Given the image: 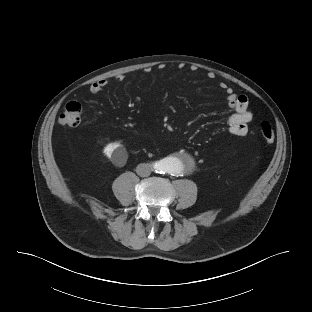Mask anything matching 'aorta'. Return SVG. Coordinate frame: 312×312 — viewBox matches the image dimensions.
I'll return each instance as SVG.
<instances>
[{
  "instance_id": "762f6f07",
  "label": "aorta",
  "mask_w": 312,
  "mask_h": 312,
  "mask_svg": "<svg viewBox=\"0 0 312 312\" xmlns=\"http://www.w3.org/2000/svg\"><path fill=\"white\" fill-rule=\"evenodd\" d=\"M188 162V157H166L160 161L159 170L162 173L178 175Z\"/></svg>"
}]
</instances>
